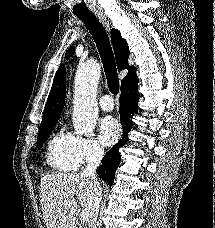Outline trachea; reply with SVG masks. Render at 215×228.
Wrapping results in <instances>:
<instances>
[{
  "mask_svg": "<svg viewBox=\"0 0 215 228\" xmlns=\"http://www.w3.org/2000/svg\"><path fill=\"white\" fill-rule=\"evenodd\" d=\"M76 17L85 23L87 30H89L94 38L103 63L108 88L111 93L116 95L119 92V78L114 53L105 28L92 13L76 14Z\"/></svg>",
  "mask_w": 215,
  "mask_h": 228,
  "instance_id": "obj_1",
  "label": "trachea"
}]
</instances>
